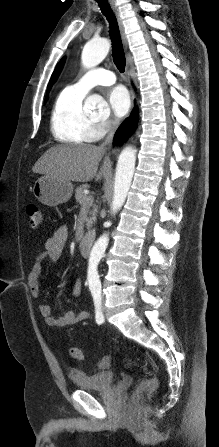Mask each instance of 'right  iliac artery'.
Instances as JSON below:
<instances>
[{
	"instance_id": "obj_1",
	"label": "right iliac artery",
	"mask_w": 219,
	"mask_h": 447,
	"mask_svg": "<svg viewBox=\"0 0 219 447\" xmlns=\"http://www.w3.org/2000/svg\"><path fill=\"white\" fill-rule=\"evenodd\" d=\"M92 296L95 304L96 322L101 324L104 321V316L101 310V294L93 292Z\"/></svg>"
}]
</instances>
